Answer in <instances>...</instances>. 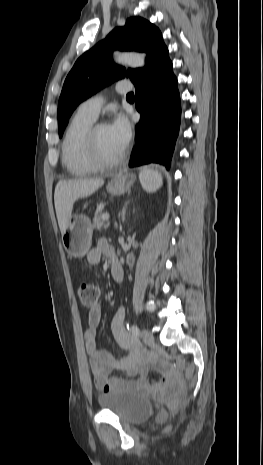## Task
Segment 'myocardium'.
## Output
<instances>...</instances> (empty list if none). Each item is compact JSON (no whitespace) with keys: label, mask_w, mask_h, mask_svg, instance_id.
<instances>
[{"label":"myocardium","mask_w":263,"mask_h":465,"mask_svg":"<svg viewBox=\"0 0 263 465\" xmlns=\"http://www.w3.org/2000/svg\"><path fill=\"white\" fill-rule=\"evenodd\" d=\"M105 123H94L87 130L84 137V147L88 160L92 165L97 169H109L115 167L123 162L126 156V150L124 149L122 153L111 160L104 159L98 149L97 144V132L100 127L105 126Z\"/></svg>","instance_id":"obj_1"}]
</instances>
